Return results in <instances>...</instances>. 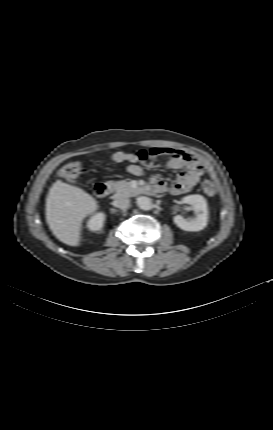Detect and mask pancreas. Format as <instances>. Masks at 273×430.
<instances>
[{
  "label": "pancreas",
  "mask_w": 273,
  "mask_h": 430,
  "mask_svg": "<svg viewBox=\"0 0 273 430\" xmlns=\"http://www.w3.org/2000/svg\"><path fill=\"white\" fill-rule=\"evenodd\" d=\"M108 184L112 187L113 191L115 192L114 194L115 199L131 197L137 191L136 189L132 188L128 183L124 181H116V182L109 181Z\"/></svg>",
  "instance_id": "1"
}]
</instances>
